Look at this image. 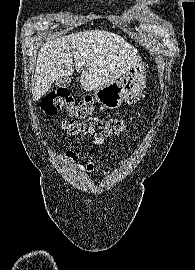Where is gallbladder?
<instances>
[{
    "label": "gallbladder",
    "instance_id": "gallbladder-1",
    "mask_svg": "<svg viewBox=\"0 0 195 270\" xmlns=\"http://www.w3.org/2000/svg\"><path fill=\"white\" fill-rule=\"evenodd\" d=\"M71 84V78L70 77H64V78H59L58 80L55 81V85L58 88H67Z\"/></svg>",
    "mask_w": 195,
    "mask_h": 270
}]
</instances>
